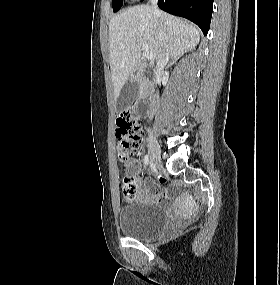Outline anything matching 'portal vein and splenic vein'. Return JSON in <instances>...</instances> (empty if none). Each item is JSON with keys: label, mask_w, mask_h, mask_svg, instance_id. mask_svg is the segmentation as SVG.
Wrapping results in <instances>:
<instances>
[{"label": "portal vein and splenic vein", "mask_w": 280, "mask_h": 285, "mask_svg": "<svg viewBox=\"0 0 280 285\" xmlns=\"http://www.w3.org/2000/svg\"><path fill=\"white\" fill-rule=\"evenodd\" d=\"M142 49H143V52H144L145 57H146L148 60H152L153 57H154V54H153V52L149 49L148 45H147V44H143V45H142Z\"/></svg>", "instance_id": "18ae733b"}]
</instances>
